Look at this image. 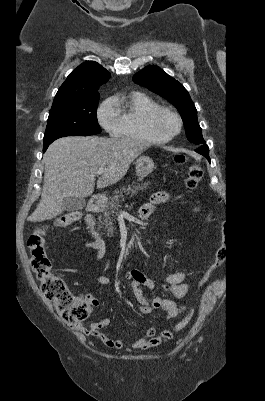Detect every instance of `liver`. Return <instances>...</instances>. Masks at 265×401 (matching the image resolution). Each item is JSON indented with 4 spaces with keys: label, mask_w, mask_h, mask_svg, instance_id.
<instances>
[{
    "label": "liver",
    "mask_w": 265,
    "mask_h": 401,
    "mask_svg": "<svg viewBox=\"0 0 265 401\" xmlns=\"http://www.w3.org/2000/svg\"><path fill=\"white\" fill-rule=\"evenodd\" d=\"M150 142L131 138L64 136L48 146L41 201L28 221H47L62 215L65 196H90L99 168H105L97 188L115 184L125 176L131 162Z\"/></svg>",
    "instance_id": "obj_1"
}]
</instances>
